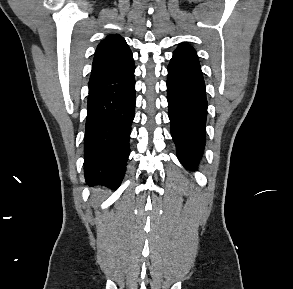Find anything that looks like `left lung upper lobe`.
<instances>
[{
  "label": "left lung upper lobe",
  "mask_w": 293,
  "mask_h": 289,
  "mask_svg": "<svg viewBox=\"0 0 293 289\" xmlns=\"http://www.w3.org/2000/svg\"><path fill=\"white\" fill-rule=\"evenodd\" d=\"M174 52H188L196 55L194 48L189 46L187 43H184L181 46H179Z\"/></svg>",
  "instance_id": "obj_1"
}]
</instances>
